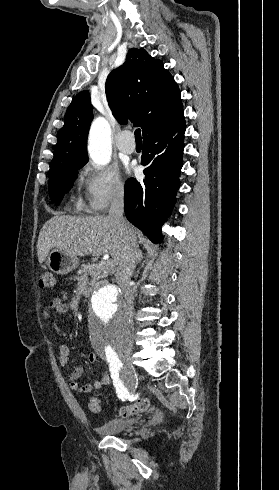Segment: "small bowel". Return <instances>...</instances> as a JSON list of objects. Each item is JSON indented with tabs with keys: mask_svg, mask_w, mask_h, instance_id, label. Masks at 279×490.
<instances>
[{
	"mask_svg": "<svg viewBox=\"0 0 279 490\" xmlns=\"http://www.w3.org/2000/svg\"><path fill=\"white\" fill-rule=\"evenodd\" d=\"M50 311H54L58 314H65L69 311V305L66 302H63L60 298H53L48 305L46 306V310L44 311V315L46 317L49 316ZM59 363L61 366H66L70 361V350L71 346L69 344L62 343L59 345ZM88 361L91 364H96L97 356L95 354H90L88 357ZM84 369L83 367H76L70 374L67 375V381L70 384V387L77 391L78 393H89L93 390H99L103 386L110 383V374L106 370H101L99 372V378L92 383L87 384H79V379L83 376Z\"/></svg>",
	"mask_w": 279,
	"mask_h": 490,
	"instance_id": "c3829d8e",
	"label": "small bowel"
}]
</instances>
